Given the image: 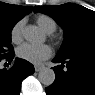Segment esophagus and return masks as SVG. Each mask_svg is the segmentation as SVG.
Here are the masks:
<instances>
[{
	"label": "esophagus",
	"instance_id": "obj_1",
	"mask_svg": "<svg viewBox=\"0 0 95 95\" xmlns=\"http://www.w3.org/2000/svg\"><path fill=\"white\" fill-rule=\"evenodd\" d=\"M43 69V66L42 65H35V71L36 72H39Z\"/></svg>",
	"mask_w": 95,
	"mask_h": 95
}]
</instances>
